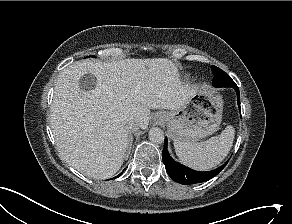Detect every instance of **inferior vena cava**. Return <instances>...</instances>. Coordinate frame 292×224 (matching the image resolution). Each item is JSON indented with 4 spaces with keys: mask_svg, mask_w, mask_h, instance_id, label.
Instances as JSON below:
<instances>
[{
    "mask_svg": "<svg viewBox=\"0 0 292 224\" xmlns=\"http://www.w3.org/2000/svg\"><path fill=\"white\" fill-rule=\"evenodd\" d=\"M123 124L128 133L137 131L139 129V123L131 118L126 119Z\"/></svg>",
    "mask_w": 292,
    "mask_h": 224,
    "instance_id": "obj_1",
    "label": "inferior vena cava"
}]
</instances>
